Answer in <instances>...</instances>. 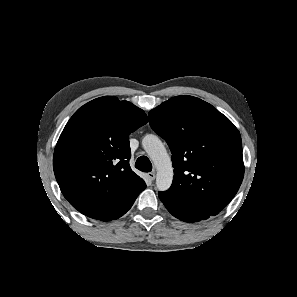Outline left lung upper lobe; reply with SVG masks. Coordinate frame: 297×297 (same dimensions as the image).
Returning a JSON list of instances; mask_svg holds the SVG:
<instances>
[{
    "mask_svg": "<svg viewBox=\"0 0 297 297\" xmlns=\"http://www.w3.org/2000/svg\"><path fill=\"white\" fill-rule=\"evenodd\" d=\"M149 119L172 153L173 182L163 193L199 219L218 214L244 176L238 129L211 104L187 95L163 102L149 112Z\"/></svg>",
    "mask_w": 297,
    "mask_h": 297,
    "instance_id": "1",
    "label": "left lung upper lobe"
}]
</instances>
